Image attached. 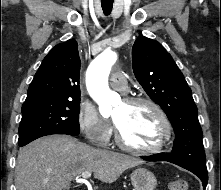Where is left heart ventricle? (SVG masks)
Here are the masks:
<instances>
[{
  "label": "left heart ventricle",
  "instance_id": "obj_1",
  "mask_svg": "<svg viewBox=\"0 0 221 190\" xmlns=\"http://www.w3.org/2000/svg\"><path fill=\"white\" fill-rule=\"evenodd\" d=\"M113 119L124 139L136 147L157 143L161 124L155 111L145 104L128 105L122 102L114 111Z\"/></svg>",
  "mask_w": 221,
  "mask_h": 190
}]
</instances>
